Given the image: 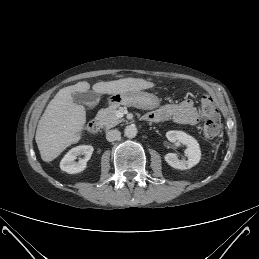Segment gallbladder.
Here are the masks:
<instances>
[{
  "label": "gallbladder",
  "instance_id": "obj_1",
  "mask_svg": "<svg viewBox=\"0 0 259 259\" xmlns=\"http://www.w3.org/2000/svg\"><path fill=\"white\" fill-rule=\"evenodd\" d=\"M74 103L83 104L89 108L95 107L99 102V95L93 91L75 92L72 94Z\"/></svg>",
  "mask_w": 259,
  "mask_h": 259
}]
</instances>
